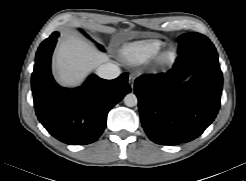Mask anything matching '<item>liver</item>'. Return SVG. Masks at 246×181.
Listing matches in <instances>:
<instances>
[{
  "instance_id": "liver-1",
  "label": "liver",
  "mask_w": 246,
  "mask_h": 181,
  "mask_svg": "<svg viewBox=\"0 0 246 181\" xmlns=\"http://www.w3.org/2000/svg\"><path fill=\"white\" fill-rule=\"evenodd\" d=\"M107 61L108 55L80 37L69 35L57 47L54 68L59 83L73 87L80 84L91 69Z\"/></svg>"
}]
</instances>
